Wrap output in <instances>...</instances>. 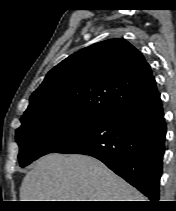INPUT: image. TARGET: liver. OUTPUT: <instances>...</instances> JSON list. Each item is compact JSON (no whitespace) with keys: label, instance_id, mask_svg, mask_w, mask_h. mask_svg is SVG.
<instances>
[{"label":"liver","instance_id":"1","mask_svg":"<svg viewBox=\"0 0 176 211\" xmlns=\"http://www.w3.org/2000/svg\"><path fill=\"white\" fill-rule=\"evenodd\" d=\"M20 201H144V196L99 160L47 154L24 177Z\"/></svg>","mask_w":176,"mask_h":211}]
</instances>
